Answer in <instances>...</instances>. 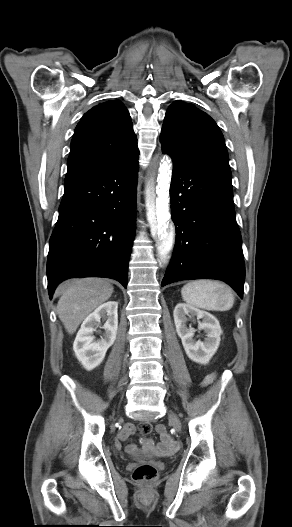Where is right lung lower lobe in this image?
<instances>
[{
	"label": "right lung lower lobe",
	"mask_w": 292,
	"mask_h": 527,
	"mask_svg": "<svg viewBox=\"0 0 292 527\" xmlns=\"http://www.w3.org/2000/svg\"><path fill=\"white\" fill-rule=\"evenodd\" d=\"M138 154L68 167L47 260L50 299L71 277H107L127 286L135 236Z\"/></svg>",
	"instance_id": "98d812e1"
}]
</instances>
